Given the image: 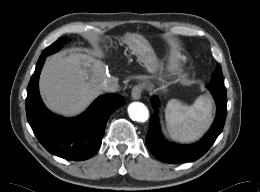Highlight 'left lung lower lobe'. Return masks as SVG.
<instances>
[{"label": "left lung lower lobe", "mask_w": 260, "mask_h": 192, "mask_svg": "<svg viewBox=\"0 0 260 192\" xmlns=\"http://www.w3.org/2000/svg\"><path fill=\"white\" fill-rule=\"evenodd\" d=\"M206 87L211 91L215 99L217 114L206 135L199 142L192 145L170 144L162 137L157 116L159 101L157 97H152L151 103L155 113L150 118L146 145L157 159L167 163L192 162L203 156L215 142L224 127L226 119L227 93L223 84L209 83Z\"/></svg>", "instance_id": "1"}]
</instances>
